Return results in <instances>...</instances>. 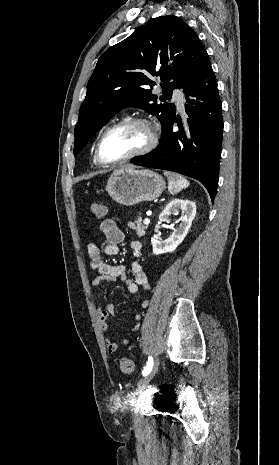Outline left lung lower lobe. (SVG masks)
Segmentation results:
<instances>
[{
	"mask_svg": "<svg viewBox=\"0 0 279 465\" xmlns=\"http://www.w3.org/2000/svg\"><path fill=\"white\" fill-rule=\"evenodd\" d=\"M188 128L174 119L160 144L131 163L177 172L200 181L213 201L217 192L223 136L222 104L207 52L184 87ZM177 122L180 131L173 132Z\"/></svg>",
	"mask_w": 279,
	"mask_h": 465,
	"instance_id": "obj_1",
	"label": "left lung lower lobe"
}]
</instances>
